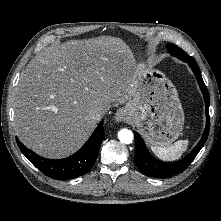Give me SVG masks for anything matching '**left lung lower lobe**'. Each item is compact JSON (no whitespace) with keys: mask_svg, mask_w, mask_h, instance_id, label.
<instances>
[{"mask_svg":"<svg viewBox=\"0 0 221 221\" xmlns=\"http://www.w3.org/2000/svg\"><path fill=\"white\" fill-rule=\"evenodd\" d=\"M189 64L191 69L193 70L196 79L199 83V86L201 88V91L204 95L205 99V105H206V128L204 131V134L199 141V143L196 145V147L191 151L189 155H187L184 159L174 162V163H165L162 161H159L155 159L147 150L145 143L142 139V137L134 131L135 136V157L134 162L137 166V168L140 170L141 173L152 176V177H170L173 175H176L180 172H182L184 169H186L190 163L194 160L196 155L199 153L203 145L205 144L209 128H210V117H209V95L206 88V85L202 79L200 70L195 62V60L192 58L190 60L185 61Z\"/></svg>","mask_w":221,"mask_h":221,"instance_id":"left-lung-lower-lobe-1","label":"left lung lower lobe"}]
</instances>
